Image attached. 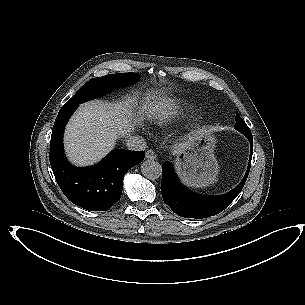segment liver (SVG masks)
<instances>
[{"label":"liver","instance_id":"obj_1","mask_svg":"<svg viewBox=\"0 0 305 305\" xmlns=\"http://www.w3.org/2000/svg\"><path fill=\"white\" fill-rule=\"evenodd\" d=\"M133 101L130 99L124 104H108L102 100H93L81 104L69 119L64 132V149L68 160L82 167L93 165L104 158L115 147L118 135L130 132L133 113L129 102ZM152 114L159 124L169 119L165 112ZM188 137V141L178 144L177 153L190 144L192 137Z\"/></svg>","mask_w":305,"mask_h":305}]
</instances>
